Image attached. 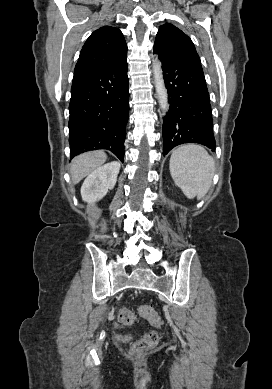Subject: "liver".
Segmentation results:
<instances>
[{"label": "liver", "instance_id": "6515ba94", "mask_svg": "<svg viewBox=\"0 0 272 389\" xmlns=\"http://www.w3.org/2000/svg\"><path fill=\"white\" fill-rule=\"evenodd\" d=\"M107 159L103 151H93L81 154L73 159L70 168L71 179L74 184L100 167Z\"/></svg>", "mask_w": 272, "mask_h": 389}]
</instances>
